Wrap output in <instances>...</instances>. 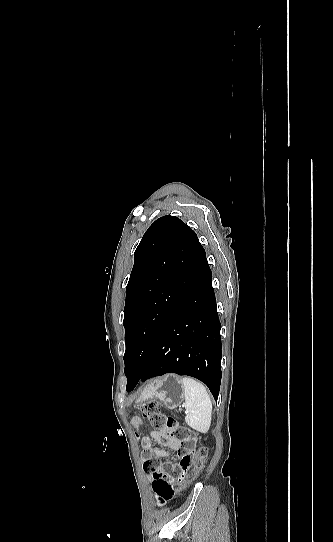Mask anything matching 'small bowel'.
<instances>
[{
  "instance_id": "c3829d8e",
  "label": "small bowel",
  "mask_w": 333,
  "mask_h": 542,
  "mask_svg": "<svg viewBox=\"0 0 333 542\" xmlns=\"http://www.w3.org/2000/svg\"><path fill=\"white\" fill-rule=\"evenodd\" d=\"M132 425L135 428L136 431L140 432L144 428V422L140 417H134L132 419ZM154 443L160 444L162 446L168 447L171 450L179 451L181 445L172 439H170L168 436H166L164 433L158 431V430H149L148 434L143 436L140 439V445L146 453L142 454V461L143 462H150L152 457H165L168 455V451L158 448L154 445ZM148 452V453H147ZM152 456V457H151ZM152 481L159 482L161 484H172L170 479L166 478H154Z\"/></svg>"
}]
</instances>
